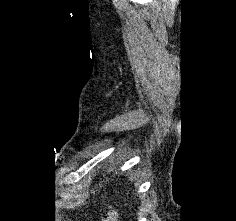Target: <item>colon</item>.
<instances>
[{"mask_svg": "<svg viewBox=\"0 0 236 221\" xmlns=\"http://www.w3.org/2000/svg\"><path fill=\"white\" fill-rule=\"evenodd\" d=\"M117 219L118 216L116 210L112 206H109L105 215L102 218V221H117Z\"/></svg>", "mask_w": 236, "mask_h": 221, "instance_id": "colon-1", "label": "colon"}]
</instances>
